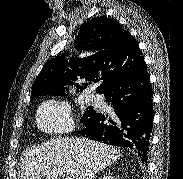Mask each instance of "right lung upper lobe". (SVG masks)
<instances>
[{
	"label": "right lung upper lobe",
	"mask_w": 183,
	"mask_h": 179,
	"mask_svg": "<svg viewBox=\"0 0 183 179\" xmlns=\"http://www.w3.org/2000/svg\"><path fill=\"white\" fill-rule=\"evenodd\" d=\"M78 57L66 61L67 52L50 59L32 85L31 99L42 95L65 94L66 85L78 78L99 83L97 93L123 77L133 74L144 63L137 41L114 19L100 16L80 29L74 43ZM68 67L71 68L68 69ZM77 86V91L85 89Z\"/></svg>",
	"instance_id": "obj_1"
}]
</instances>
